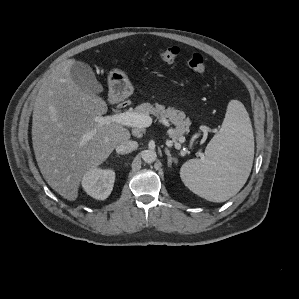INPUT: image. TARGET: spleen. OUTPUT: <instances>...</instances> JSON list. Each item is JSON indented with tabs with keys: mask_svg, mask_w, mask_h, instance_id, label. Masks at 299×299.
Here are the masks:
<instances>
[{
	"mask_svg": "<svg viewBox=\"0 0 299 299\" xmlns=\"http://www.w3.org/2000/svg\"><path fill=\"white\" fill-rule=\"evenodd\" d=\"M254 136L244 105L231 100L222 127L208 143L202 159H191L180 177L192 192L212 202H224L246 183L253 165Z\"/></svg>",
	"mask_w": 299,
	"mask_h": 299,
	"instance_id": "3e777b00",
	"label": "spleen"
}]
</instances>
